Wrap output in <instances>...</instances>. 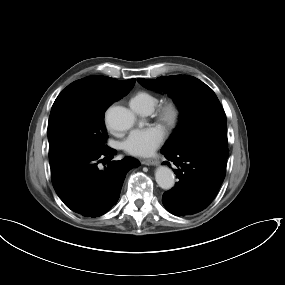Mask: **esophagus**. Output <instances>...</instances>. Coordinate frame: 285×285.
<instances>
[{"mask_svg": "<svg viewBox=\"0 0 285 285\" xmlns=\"http://www.w3.org/2000/svg\"><path fill=\"white\" fill-rule=\"evenodd\" d=\"M141 163L144 165H154L157 166L159 164L158 160L155 159H145V160H141Z\"/></svg>", "mask_w": 285, "mask_h": 285, "instance_id": "esophagus-1", "label": "esophagus"}]
</instances>
